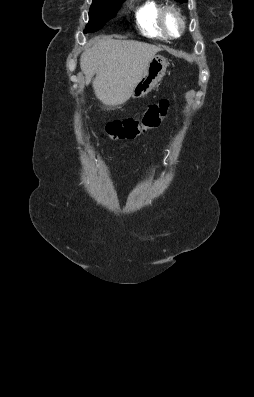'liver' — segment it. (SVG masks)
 <instances>
[{
	"label": "liver",
	"mask_w": 254,
	"mask_h": 397,
	"mask_svg": "<svg viewBox=\"0 0 254 397\" xmlns=\"http://www.w3.org/2000/svg\"><path fill=\"white\" fill-rule=\"evenodd\" d=\"M161 49L134 40L98 39L81 55L80 68L97 98L108 106H121L129 99L148 63Z\"/></svg>",
	"instance_id": "obj_1"
}]
</instances>
